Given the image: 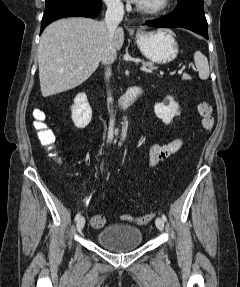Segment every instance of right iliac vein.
<instances>
[{
	"label": "right iliac vein",
	"mask_w": 240,
	"mask_h": 287,
	"mask_svg": "<svg viewBox=\"0 0 240 287\" xmlns=\"http://www.w3.org/2000/svg\"><path fill=\"white\" fill-rule=\"evenodd\" d=\"M85 225V218L80 217L77 221L76 228L78 232H81Z\"/></svg>",
	"instance_id": "1"
}]
</instances>
